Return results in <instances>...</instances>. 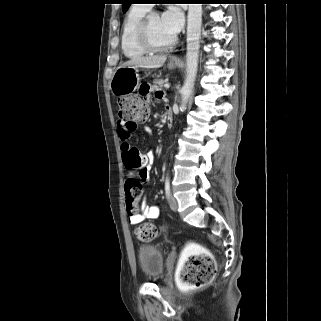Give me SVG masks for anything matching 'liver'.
Masks as SVG:
<instances>
[{
	"label": "liver",
	"mask_w": 321,
	"mask_h": 321,
	"mask_svg": "<svg viewBox=\"0 0 321 321\" xmlns=\"http://www.w3.org/2000/svg\"><path fill=\"white\" fill-rule=\"evenodd\" d=\"M166 59V55L136 57L125 62L120 67L133 66L136 68L157 69L163 66Z\"/></svg>",
	"instance_id": "6515ba94"
}]
</instances>
